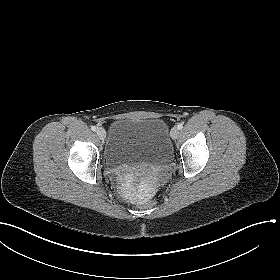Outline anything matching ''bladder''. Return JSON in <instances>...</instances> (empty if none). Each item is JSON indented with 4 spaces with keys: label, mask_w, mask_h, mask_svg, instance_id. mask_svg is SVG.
Instances as JSON below:
<instances>
[{
    "label": "bladder",
    "mask_w": 280,
    "mask_h": 280,
    "mask_svg": "<svg viewBox=\"0 0 280 280\" xmlns=\"http://www.w3.org/2000/svg\"><path fill=\"white\" fill-rule=\"evenodd\" d=\"M171 154L168 127L160 118L126 117L109 129L103 161L107 167L120 163L157 164Z\"/></svg>",
    "instance_id": "1"
}]
</instances>
